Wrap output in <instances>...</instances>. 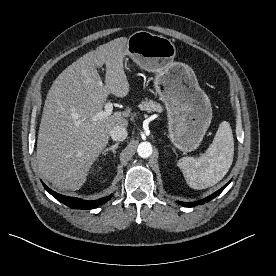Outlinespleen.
<instances>
[{"label": "spleen", "instance_id": "3e777b00", "mask_svg": "<svg viewBox=\"0 0 276 276\" xmlns=\"http://www.w3.org/2000/svg\"><path fill=\"white\" fill-rule=\"evenodd\" d=\"M234 138L230 124L220 123L213 142L200 157H183L177 162L188 185L205 189L218 183L232 165Z\"/></svg>", "mask_w": 276, "mask_h": 276}]
</instances>
